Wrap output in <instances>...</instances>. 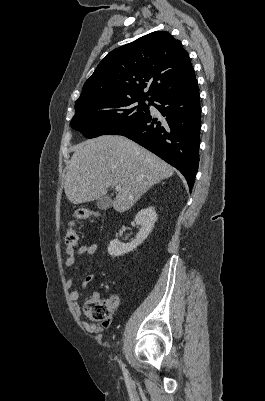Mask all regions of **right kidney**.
<instances>
[{"instance_id":"1","label":"right kidney","mask_w":265,"mask_h":401,"mask_svg":"<svg viewBox=\"0 0 265 401\" xmlns=\"http://www.w3.org/2000/svg\"><path fill=\"white\" fill-rule=\"evenodd\" d=\"M157 221V213L154 207H147V209H142L139 211L138 215L135 217L136 225H140L139 233L136 235V239L131 241V243H119L117 239L110 241L108 245V253L112 257H120V255H125V253H130L133 249H136L138 245H141L148 235H150L154 223Z\"/></svg>"}]
</instances>
